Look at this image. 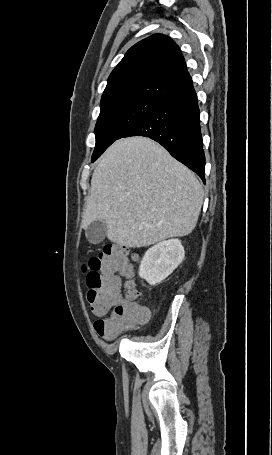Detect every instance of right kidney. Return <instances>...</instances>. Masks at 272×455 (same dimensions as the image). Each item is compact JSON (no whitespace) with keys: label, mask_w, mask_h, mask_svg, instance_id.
<instances>
[{"label":"right kidney","mask_w":272,"mask_h":455,"mask_svg":"<svg viewBox=\"0 0 272 455\" xmlns=\"http://www.w3.org/2000/svg\"><path fill=\"white\" fill-rule=\"evenodd\" d=\"M184 254L180 240L162 241L144 254L139 266V276L150 285L161 283L183 261Z\"/></svg>","instance_id":"ca27d5eb"}]
</instances>
